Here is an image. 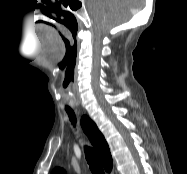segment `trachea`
Listing matches in <instances>:
<instances>
[{
	"instance_id": "3493384b",
	"label": "trachea",
	"mask_w": 187,
	"mask_h": 174,
	"mask_svg": "<svg viewBox=\"0 0 187 174\" xmlns=\"http://www.w3.org/2000/svg\"><path fill=\"white\" fill-rule=\"evenodd\" d=\"M66 112L68 113L72 124L76 123V117L72 109L67 108ZM86 159L89 164L90 170L93 174H105L103 167L97 157L95 151L92 148H86Z\"/></svg>"
}]
</instances>
